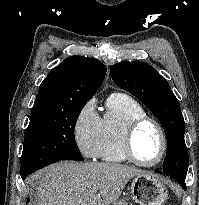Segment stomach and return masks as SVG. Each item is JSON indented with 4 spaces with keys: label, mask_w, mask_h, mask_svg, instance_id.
<instances>
[{
    "label": "stomach",
    "mask_w": 199,
    "mask_h": 205,
    "mask_svg": "<svg viewBox=\"0 0 199 205\" xmlns=\"http://www.w3.org/2000/svg\"><path fill=\"white\" fill-rule=\"evenodd\" d=\"M131 198L139 205H162L167 199L166 186L150 174H139L131 183ZM112 205H128L127 199L114 202Z\"/></svg>",
    "instance_id": "obj_1"
}]
</instances>
